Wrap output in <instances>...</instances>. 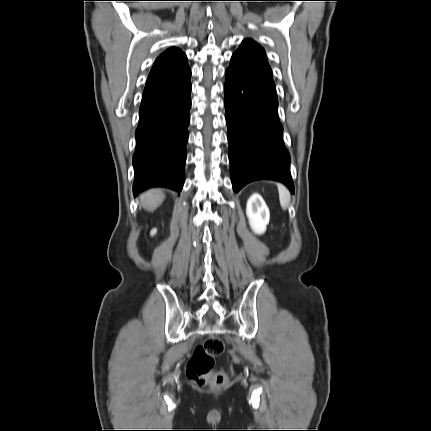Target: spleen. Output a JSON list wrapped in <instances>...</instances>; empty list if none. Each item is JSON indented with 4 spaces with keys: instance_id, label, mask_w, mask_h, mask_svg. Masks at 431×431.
<instances>
[{
    "instance_id": "3e777b00",
    "label": "spleen",
    "mask_w": 431,
    "mask_h": 431,
    "mask_svg": "<svg viewBox=\"0 0 431 431\" xmlns=\"http://www.w3.org/2000/svg\"><path fill=\"white\" fill-rule=\"evenodd\" d=\"M278 192H279V200H280L281 207L283 209H286L287 205L290 202V192L282 184H278Z\"/></svg>"
}]
</instances>
